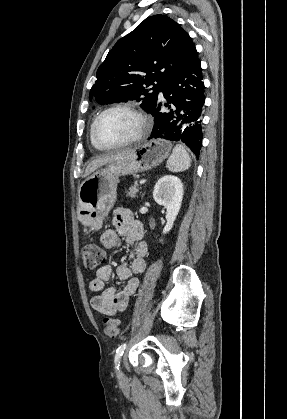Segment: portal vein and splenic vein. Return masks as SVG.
I'll return each mask as SVG.
<instances>
[{
    "label": "portal vein and splenic vein",
    "instance_id": "1",
    "mask_svg": "<svg viewBox=\"0 0 287 419\" xmlns=\"http://www.w3.org/2000/svg\"><path fill=\"white\" fill-rule=\"evenodd\" d=\"M146 182L145 179L140 180V185L144 184Z\"/></svg>",
    "mask_w": 287,
    "mask_h": 419
}]
</instances>
